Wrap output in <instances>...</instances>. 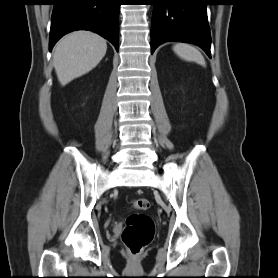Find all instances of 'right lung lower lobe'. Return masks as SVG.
<instances>
[{
  "label": "right lung lower lobe",
  "instance_id": "right-lung-lower-lobe-1",
  "mask_svg": "<svg viewBox=\"0 0 278 278\" xmlns=\"http://www.w3.org/2000/svg\"><path fill=\"white\" fill-rule=\"evenodd\" d=\"M51 18L49 50L66 33L94 31L118 51L120 0H55Z\"/></svg>",
  "mask_w": 278,
  "mask_h": 278
}]
</instances>
